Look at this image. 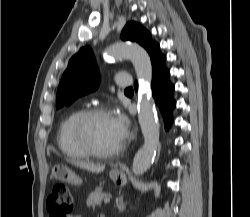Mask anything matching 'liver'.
<instances>
[{"label": "liver", "mask_w": 250, "mask_h": 217, "mask_svg": "<svg viewBox=\"0 0 250 217\" xmlns=\"http://www.w3.org/2000/svg\"><path fill=\"white\" fill-rule=\"evenodd\" d=\"M72 163L74 165L82 168V169H85V170H88V171H91V172H95V173L103 172L104 169H105L104 165H94V164H91L89 162L74 161Z\"/></svg>", "instance_id": "obj_1"}]
</instances>
